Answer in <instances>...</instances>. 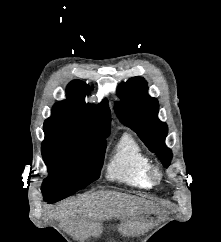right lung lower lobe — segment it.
Segmentation results:
<instances>
[{
    "mask_svg": "<svg viewBox=\"0 0 221 242\" xmlns=\"http://www.w3.org/2000/svg\"><path fill=\"white\" fill-rule=\"evenodd\" d=\"M42 192H43L45 201L49 202L50 204L55 203L59 200H62L74 193V192L60 193V192L45 191V190H42Z\"/></svg>",
    "mask_w": 221,
    "mask_h": 242,
    "instance_id": "right-lung-lower-lobe-1",
    "label": "right lung lower lobe"
}]
</instances>
